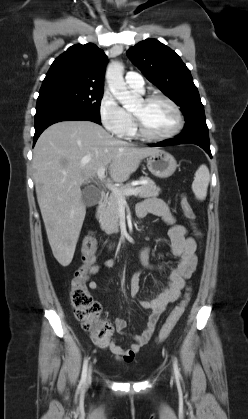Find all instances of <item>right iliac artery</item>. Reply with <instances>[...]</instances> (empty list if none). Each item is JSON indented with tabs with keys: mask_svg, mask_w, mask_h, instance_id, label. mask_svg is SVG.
<instances>
[{
	"mask_svg": "<svg viewBox=\"0 0 248 419\" xmlns=\"http://www.w3.org/2000/svg\"><path fill=\"white\" fill-rule=\"evenodd\" d=\"M87 368H88V360H87V359H85V360H84V363H83L82 374H81V380H80V384H79L80 388H81V386H83V385H84V383H85L86 376H87Z\"/></svg>",
	"mask_w": 248,
	"mask_h": 419,
	"instance_id": "obj_1",
	"label": "right iliac artery"
}]
</instances>
